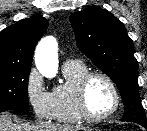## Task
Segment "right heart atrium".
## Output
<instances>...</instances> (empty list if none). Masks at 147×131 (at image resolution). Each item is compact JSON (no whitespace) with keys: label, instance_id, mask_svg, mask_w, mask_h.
<instances>
[{"label":"right heart atrium","instance_id":"1","mask_svg":"<svg viewBox=\"0 0 147 131\" xmlns=\"http://www.w3.org/2000/svg\"><path fill=\"white\" fill-rule=\"evenodd\" d=\"M27 101L39 120L53 119L54 103L52 93L45 87L42 76L36 69H31L25 81Z\"/></svg>","mask_w":147,"mask_h":131}]
</instances>
